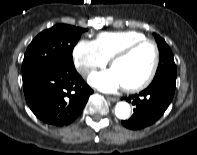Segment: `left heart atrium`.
<instances>
[{
	"mask_svg": "<svg viewBox=\"0 0 197 155\" xmlns=\"http://www.w3.org/2000/svg\"><path fill=\"white\" fill-rule=\"evenodd\" d=\"M89 82L99 90L105 92H112L123 86L119 76L113 69L92 74Z\"/></svg>",
	"mask_w": 197,
	"mask_h": 155,
	"instance_id": "left-heart-atrium-1",
	"label": "left heart atrium"
}]
</instances>
